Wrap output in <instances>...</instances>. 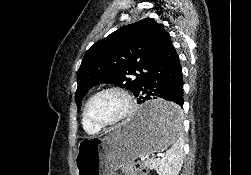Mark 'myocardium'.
Instances as JSON below:
<instances>
[{
    "mask_svg": "<svg viewBox=\"0 0 251 175\" xmlns=\"http://www.w3.org/2000/svg\"><path fill=\"white\" fill-rule=\"evenodd\" d=\"M107 91H119L121 92L124 97H125V100H126V103H127V110L124 114V116L119 119L118 121L114 122V123H111V124H103V123H100L96 120H93L91 117H90V106L92 104V102L94 101V99L104 93V92H107ZM135 111H136V105H135V102H134V99L133 97L131 96V94L129 93L128 90H126L125 88L121 87V86H118V85H111V86H107V87H104L100 90H98L97 92H95L87 101L85 107H84V119L86 121H88L92 126H94L95 128L97 129H100V130H104V129H110V128H115L117 126H120L124 123H126L127 121H129L135 114Z\"/></svg>",
    "mask_w": 251,
    "mask_h": 175,
    "instance_id": "myocardium-1",
    "label": "myocardium"
}]
</instances>
